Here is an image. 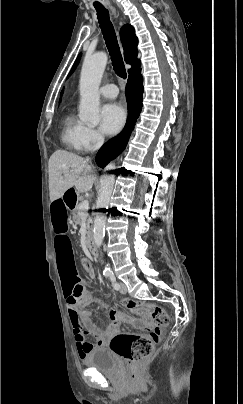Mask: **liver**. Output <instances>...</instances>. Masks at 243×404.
<instances>
[{
    "mask_svg": "<svg viewBox=\"0 0 243 404\" xmlns=\"http://www.w3.org/2000/svg\"><path fill=\"white\" fill-rule=\"evenodd\" d=\"M48 168L50 202L63 198L73 186L78 192H90L93 188L95 178L91 176L92 168L81 156L57 150L52 154Z\"/></svg>",
    "mask_w": 243,
    "mask_h": 404,
    "instance_id": "liver-1",
    "label": "liver"
}]
</instances>
